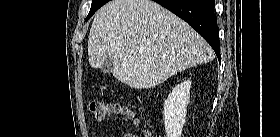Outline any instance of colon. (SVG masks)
I'll return each mask as SVG.
<instances>
[{
    "instance_id": "1",
    "label": "colon",
    "mask_w": 280,
    "mask_h": 137,
    "mask_svg": "<svg viewBox=\"0 0 280 137\" xmlns=\"http://www.w3.org/2000/svg\"><path fill=\"white\" fill-rule=\"evenodd\" d=\"M89 111L97 120H104L113 112L123 111V108L118 104H110L96 100L89 104ZM134 123H136L135 119Z\"/></svg>"
}]
</instances>
